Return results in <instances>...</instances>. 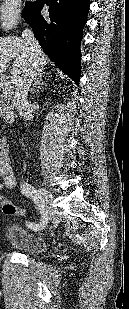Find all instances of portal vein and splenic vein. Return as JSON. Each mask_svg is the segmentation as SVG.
<instances>
[{
  "mask_svg": "<svg viewBox=\"0 0 129 309\" xmlns=\"http://www.w3.org/2000/svg\"><path fill=\"white\" fill-rule=\"evenodd\" d=\"M11 82L13 84H18L20 82V79L17 76L11 77Z\"/></svg>",
  "mask_w": 129,
  "mask_h": 309,
  "instance_id": "portal-vein-and-splenic-vein-1",
  "label": "portal vein and splenic vein"
}]
</instances>
